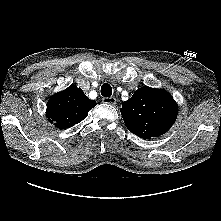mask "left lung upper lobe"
I'll use <instances>...</instances> for the list:
<instances>
[{
	"label": "left lung upper lobe",
	"mask_w": 221,
	"mask_h": 221,
	"mask_svg": "<svg viewBox=\"0 0 221 221\" xmlns=\"http://www.w3.org/2000/svg\"><path fill=\"white\" fill-rule=\"evenodd\" d=\"M120 112L129 131L149 139L170 129L177 118L178 107L167 91L144 86L123 102Z\"/></svg>",
	"instance_id": "5c2ea615"
}]
</instances>
